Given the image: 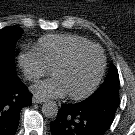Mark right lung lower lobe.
<instances>
[{"label":"right lung lower lobe","instance_id":"right-lung-lower-lobe-1","mask_svg":"<svg viewBox=\"0 0 135 135\" xmlns=\"http://www.w3.org/2000/svg\"><path fill=\"white\" fill-rule=\"evenodd\" d=\"M31 100L32 94L16 74L0 76V135H15L20 111Z\"/></svg>","mask_w":135,"mask_h":135}]
</instances>
